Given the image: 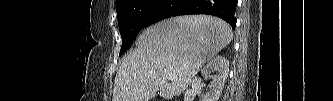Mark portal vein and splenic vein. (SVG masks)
Masks as SVG:
<instances>
[{"label":"portal vein and splenic vein","instance_id":"1","mask_svg":"<svg viewBox=\"0 0 333 101\" xmlns=\"http://www.w3.org/2000/svg\"><path fill=\"white\" fill-rule=\"evenodd\" d=\"M166 79H168V80H171V79H173V75H172V74H170V75H167V76H166Z\"/></svg>","mask_w":333,"mask_h":101}]
</instances>
